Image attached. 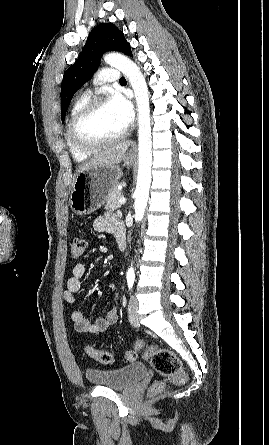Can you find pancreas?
Returning a JSON list of instances; mask_svg holds the SVG:
<instances>
[{"instance_id": "pancreas-1", "label": "pancreas", "mask_w": 269, "mask_h": 445, "mask_svg": "<svg viewBox=\"0 0 269 445\" xmlns=\"http://www.w3.org/2000/svg\"><path fill=\"white\" fill-rule=\"evenodd\" d=\"M121 197H123L122 192L117 190V188H113L107 197L105 209L114 211L120 208L121 204L118 202V200Z\"/></svg>"}]
</instances>
